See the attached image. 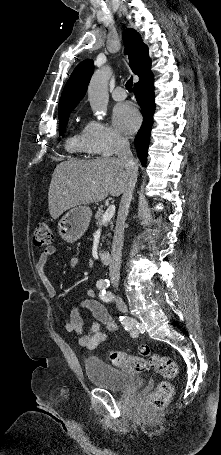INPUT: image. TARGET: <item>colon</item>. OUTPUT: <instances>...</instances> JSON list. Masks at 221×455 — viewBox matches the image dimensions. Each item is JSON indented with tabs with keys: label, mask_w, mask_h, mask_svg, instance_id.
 <instances>
[{
	"label": "colon",
	"mask_w": 221,
	"mask_h": 455,
	"mask_svg": "<svg viewBox=\"0 0 221 455\" xmlns=\"http://www.w3.org/2000/svg\"><path fill=\"white\" fill-rule=\"evenodd\" d=\"M54 239L52 228L48 222L38 223L34 229L33 240L37 247H50ZM141 356H133L120 351H112L111 362L124 371L139 373L148 367L153 368L167 379L176 377L178 368L176 362L168 356H160L150 351L146 345L139 348ZM173 396V385L169 381L158 384L146 400V407L154 410L164 409Z\"/></svg>",
	"instance_id": "5ec220e1"
}]
</instances>
